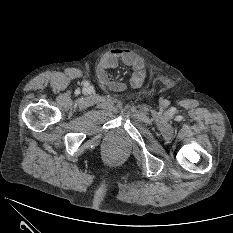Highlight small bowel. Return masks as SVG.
Instances as JSON below:
<instances>
[{
	"mask_svg": "<svg viewBox=\"0 0 233 233\" xmlns=\"http://www.w3.org/2000/svg\"><path fill=\"white\" fill-rule=\"evenodd\" d=\"M119 61H122L125 65L132 68L133 74L128 84L109 82V88L112 91L121 92L128 88L137 89L141 87L146 78L144 63L135 53L128 49H114L105 55L98 66L99 74L104 75L107 71L115 69Z\"/></svg>",
	"mask_w": 233,
	"mask_h": 233,
	"instance_id": "small-bowel-1",
	"label": "small bowel"
}]
</instances>
